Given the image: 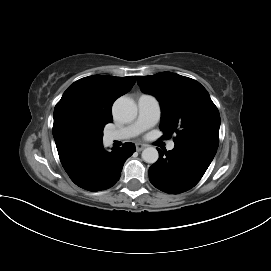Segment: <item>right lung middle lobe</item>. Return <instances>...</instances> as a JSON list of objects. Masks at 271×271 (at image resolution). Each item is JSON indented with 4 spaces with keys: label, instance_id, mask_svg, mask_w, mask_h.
Returning <instances> with one entry per match:
<instances>
[{
    "label": "right lung middle lobe",
    "instance_id": "obj_1",
    "mask_svg": "<svg viewBox=\"0 0 271 271\" xmlns=\"http://www.w3.org/2000/svg\"><path fill=\"white\" fill-rule=\"evenodd\" d=\"M106 124L105 123H98L91 126V130L98 135L100 138L103 137V128Z\"/></svg>",
    "mask_w": 271,
    "mask_h": 271
}]
</instances>
